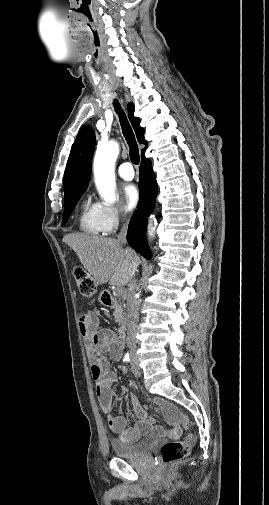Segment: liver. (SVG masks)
<instances>
[{
    "label": "liver",
    "instance_id": "6515ba94",
    "mask_svg": "<svg viewBox=\"0 0 269 505\" xmlns=\"http://www.w3.org/2000/svg\"><path fill=\"white\" fill-rule=\"evenodd\" d=\"M77 254L81 264L99 284L124 286L140 264L139 256L123 248L116 239L71 233L63 237Z\"/></svg>",
    "mask_w": 269,
    "mask_h": 505
}]
</instances>
